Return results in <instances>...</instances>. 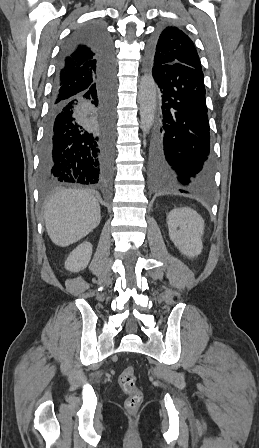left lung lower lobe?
Here are the masks:
<instances>
[{
	"mask_svg": "<svg viewBox=\"0 0 259 448\" xmlns=\"http://www.w3.org/2000/svg\"><path fill=\"white\" fill-rule=\"evenodd\" d=\"M147 67L161 91L150 152L152 186L159 191L208 193L215 162L211 150L204 75L180 63Z\"/></svg>",
	"mask_w": 259,
	"mask_h": 448,
	"instance_id": "1",
	"label": "left lung lower lobe"
}]
</instances>
